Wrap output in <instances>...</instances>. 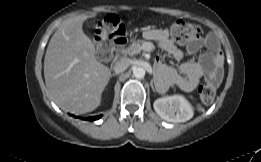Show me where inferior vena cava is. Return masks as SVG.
Masks as SVG:
<instances>
[{"mask_svg":"<svg viewBox=\"0 0 261 162\" xmlns=\"http://www.w3.org/2000/svg\"><path fill=\"white\" fill-rule=\"evenodd\" d=\"M129 65H130V60L126 58H122L114 64L113 70L115 71V73L118 74L124 72Z\"/></svg>","mask_w":261,"mask_h":162,"instance_id":"1","label":"inferior vena cava"}]
</instances>
